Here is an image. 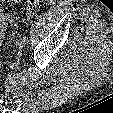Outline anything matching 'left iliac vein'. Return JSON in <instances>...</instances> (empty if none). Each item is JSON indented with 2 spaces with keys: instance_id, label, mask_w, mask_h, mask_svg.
Instances as JSON below:
<instances>
[{
  "instance_id": "1",
  "label": "left iliac vein",
  "mask_w": 113,
  "mask_h": 113,
  "mask_svg": "<svg viewBox=\"0 0 113 113\" xmlns=\"http://www.w3.org/2000/svg\"><path fill=\"white\" fill-rule=\"evenodd\" d=\"M25 45H26V42H25L23 39L19 40V41L16 43V46H17L19 49H22Z\"/></svg>"
}]
</instances>
